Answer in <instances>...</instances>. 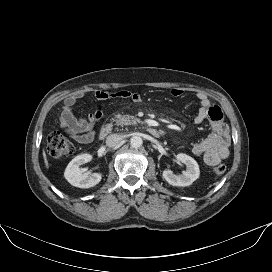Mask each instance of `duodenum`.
I'll return each mask as SVG.
<instances>
[{"label": "duodenum", "instance_id": "1", "mask_svg": "<svg viewBox=\"0 0 272 272\" xmlns=\"http://www.w3.org/2000/svg\"><path fill=\"white\" fill-rule=\"evenodd\" d=\"M112 128H113L112 124L110 123L105 124L100 130L99 137L101 139L105 138L112 131ZM145 129L151 136L155 138H158L161 136L160 131L154 127L147 126Z\"/></svg>", "mask_w": 272, "mask_h": 272}]
</instances>
